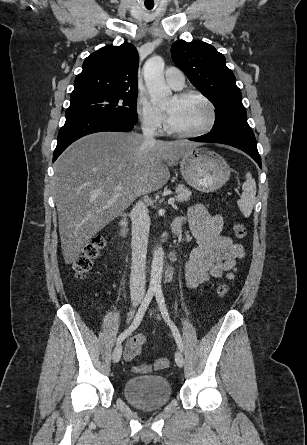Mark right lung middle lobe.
Returning <instances> with one entry per match:
<instances>
[{
    "label": "right lung middle lobe",
    "instance_id": "1",
    "mask_svg": "<svg viewBox=\"0 0 307 445\" xmlns=\"http://www.w3.org/2000/svg\"><path fill=\"white\" fill-rule=\"evenodd\" d=\"M66 119L79 116H109L137 123V93L93 94L70 98Z\"/></svg>",
    "mask_w": 307,
    "mask_h": 445
}]
</instances>
